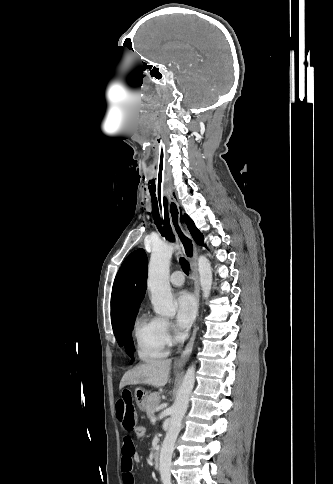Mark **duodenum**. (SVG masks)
<instances>
[{"label":"duodenum","mask_w":333,"mask_h":484,"mask_svg":"<svg viewBox=\"0 0 333 484\" xmlns=\"http://www.w3.org/2000/svg\"><path fill=\"white\" fill-rule=\"evenodd\" d=\"M160 458H161V452L160 449H156L153 454V465L155 469L160 468Z\"/></svg>","instance_id":"duodenum-1"}]
</instances>
